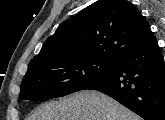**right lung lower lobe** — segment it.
<instances>
[{
  "label": "right lung lower lobe",
  "instance_id": "right-lung-lower-lobe-1",
  "mask_svg": "<svg viewBox=\"0 0 165 120\" xmlns=\"http://www.w3.org/2000/svg\"><path fill=\"white\" fill-rule=\"evenodd\" d=\"M84 89L111 96L145 120H165V64L156 39L127 51Z\"/></svg>",
  "mask_w": 165,
  "mask_h": 120
}]
</instances>
